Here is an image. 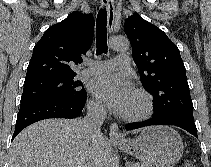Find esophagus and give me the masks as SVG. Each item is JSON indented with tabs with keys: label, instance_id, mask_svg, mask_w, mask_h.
<instances>
[{
	"label": "esophagus",
	"instance_id": "esophagus-1",
	"mask_svg": "<svg viewBox=\"0 0 211 167\" xmlns=\"http://www.w3.org/2000/svg\"><path fill=\"white\" fill-rule=\"evenodd\" d=\"M101 5L107 9L108 12V31L111 34L114 26L115 11H114V2L113 0H101ZM109 137L111 141H123L124 138L121 135L118 125L112 123L110 126Z\"/></svg>",
	"mask_w": 211,
	"mask_h": 167
}]
</instances>
